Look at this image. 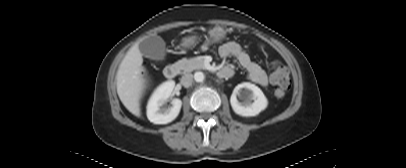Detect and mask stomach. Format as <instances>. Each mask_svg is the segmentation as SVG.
Segmentation results:
<instances>
[{
  "mask_svg": "<svg viewBox=\"0 0 406 168\" xmlns=\"http://www.w3.org/2000/svg\"><path fill=\"white\" fill-rule=\"evenodd\" d=\"M209 34L212 38L221 40V39L225 38L226 30L224 29V27H222L220 25H212L209 28ZM196 41H197V36H195V35L190 36L183 40L182 45L184 47H191L196 43Z\"/></svg>",
  "mask_w": 406,
  "mask_h": 168,
  "instance_id": "obj_1",
  "label": "stomach"
}]
</instances>
